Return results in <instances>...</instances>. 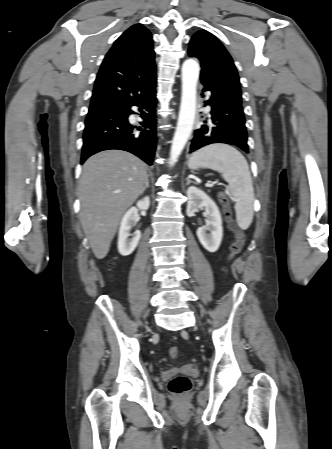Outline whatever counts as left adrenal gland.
I'll use <instances>...</instances> for the list:
<instances>
[{
    "label": "left adrenal gland",
    "instance_id": "left-adrenal-gland-1",
    "mask_svg": "<svg viewBox=\"0 0 332 449\" xmlns=\"http://www.w3.org/2000/svg\"><path fill=\"white\" fill-rule=\"evenodd\" d=\"M186 181H187L186 185H189L190 183H194L190 178H187Z\"/></svg>",
    "mask_w": 332,
    "mask_h": 449
}]
</instances>
